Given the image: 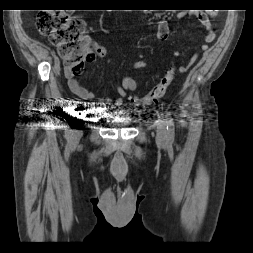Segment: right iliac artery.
<instances>
[{
	"instance_id": "right-iliac-artery-1",
	"label": "right iliac artery",
	"mask_w": 253,
	"mask_h": 253,
	"mask_svg": "<svg viewBox=\"0 0 253 253\" xmlns=\"http://www.w3.org/2000/svg\"><path fill=\"white\" fill-rule=\"evenodd\" d=\"M74 120V114H73V109H70L68 114H67V118H66V122L64 124V138L65 139H71V125L73 123Z\"/></svg>"
}]
</instances>
